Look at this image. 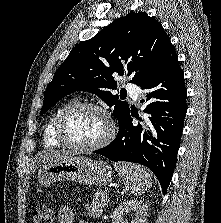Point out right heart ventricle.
Wrapping results in <instances>:
<instances>
[{"label":"right heart ventricle","instance_id":"e07e8e85","mask_svg":"<svg viewBox=\"0 0 221 223\" xmlns=\"http://www.w3.org/2000/svg\"><path fill=\"white\" fill-rule=\"evenodd\" d=\"M73 103H76V101H68L58 106L46 122L43 129V140L46 146H61V143L55 138L54 135L55 126L61 112Z\"/></svg>","mask_w":221,"mask_h":223}]
</instances>
